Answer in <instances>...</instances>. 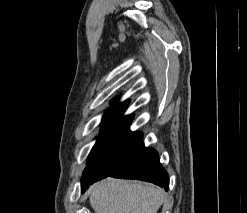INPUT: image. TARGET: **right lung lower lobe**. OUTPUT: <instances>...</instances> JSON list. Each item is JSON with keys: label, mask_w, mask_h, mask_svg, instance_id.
<instances>
[{"label": "right lung lower lobe", "mask_w": 247, "mask_h": 213, "mask_svg": "<svg viewBox=\"0 0 247 213\" xmlns=\"http://www.w3.org/2000/svg\"><path fill=\"white\" fill-rule=\"evenodd\" d=\"M132 119L130 115L115 146L100 161L99 174L81 187L82 193L90 184L108 176L147 181L168 190V174L160 164L158 152L144 146L141 133L129 130Z\"/></svg>", "instance_id": "right-lung-lower-lobe-1"}]
</instances>
